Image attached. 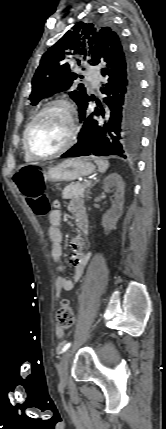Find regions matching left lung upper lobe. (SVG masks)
<instances>
[{"label": "left lung upper lobe", "mask_w": 166, "mask_h": 429, "mask_svg": "<svg viewBox=\"0 0 166 429\" xmlns=\"http://www.w3.org/2000/svg\"><path fill=\"white\" fill-rule=\"evenodd\" d=\"M119 35L110 27H98L91 23L79 22L52 47L46 51L32 79V92L29 96L31 105H36L41 99L58 92L65 91L72 86L77 78L71 68L80 59L91 58L89 62L95 64L98 51L103 41H113ZM79 109L88 99L86 89L79 86L69 92Z\"/></svg>", "instance_id": "obj_1"}]
</instances>
